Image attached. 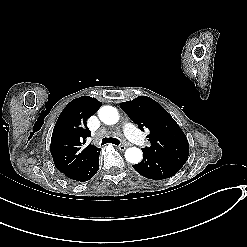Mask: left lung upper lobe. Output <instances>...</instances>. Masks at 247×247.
I'll list each match as a JSON object with an SVG mask.
<instances>
[{"label": "left lung upper lobe", "mask_w": 247, "mask_h": 247, "mask_svg": "<svg viewBox=\"0 0 247 247\" xmlns=\"http://www.w3.org/2000/svg\"><path fill=\"white\" fill-rule=\"evenodd\" d=\"M121 109L133 120L140 130L148 129L150 147L142 151L162 156L184 165L189 155L188 140L172 116L155 100L139 96L132 101L122 102Z\"/></svg>", "instance_id": "5c2ea615"}]
</instances>
